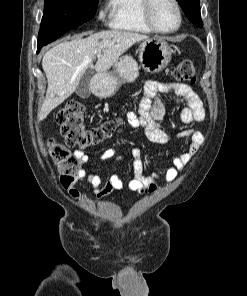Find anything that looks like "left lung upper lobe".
I'll return each mask as SVG.
<instances>
[{"label": "left lung upper lobe", "instance_id": "5c2ea615", "mask_svg": "<svg viewBox=\"0 0 247 296\" xmlns=\"http://www.w3.org/2000/svg\"><path fill=\"white\" fill-rule=\"evenodd\" d=\"M189 20L197 27H202L203 23L200 15L199 0H177Z\"/></svg>", "mask_w": 247, "mask_h": 296}]
</instances>
